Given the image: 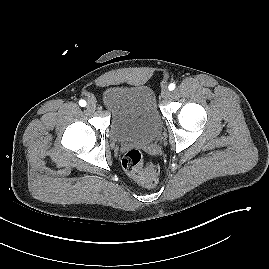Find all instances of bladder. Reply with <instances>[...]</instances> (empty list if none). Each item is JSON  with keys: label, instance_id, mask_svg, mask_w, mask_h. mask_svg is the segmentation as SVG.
<instances>
[{"label": "bladder", "instance_id": "obj_1", "mask_svg": "<svg viewBox=\"0 0 269 269\" xmlns=\"http://www.w3.org/2000/svg\"><path fill=\"white\" fill-rule=\"evenodd\" d=\"M110 113V137L114 142L154 141L162 129L155 96L147 85H113L102 94Z\"/></svg>", "mask_w": 269, "mask_h": 269}]
</instances>
